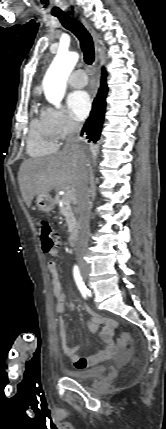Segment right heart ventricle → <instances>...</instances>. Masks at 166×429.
Here are the masks:
<instances>
[{"mask_svg": "<svg viewBox=\"0 0 166 429\" xmlns=\"http://www.w3.org/2000/svg\"><path fill=\"white\" fill-rule=\"evenodd\" d=\"M27 148L31 156L51 154L58 148L57 140L50 133L41 116L34 117L31 121Z\"/></svg>", "mask_w": 166, "mask_h": 429, "instance_id": "e07e8e85", "label": "right heart ventricle"}]
</instances>
